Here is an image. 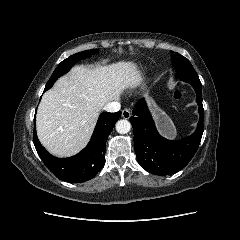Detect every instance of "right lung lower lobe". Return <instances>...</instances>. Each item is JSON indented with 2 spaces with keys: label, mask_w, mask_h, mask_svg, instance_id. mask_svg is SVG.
<instances>
[{
  "label": "right lung lower lobe",
  "mask_w": 240,
  "mask_h": 240,
  "mask_svg": "<svg viewBox=\"0 0 240 240\" xmlns=\"http://www.w3.org/2000/svg\"><path fill=\"white\" fill-rule=\"evenodd\" d=\"M120 116V111L116 113H102L88 145L77 155L64 159L50 155L40 144L34 123L33 142L37 153L47 168L58 178L71 183L90 180L104 166L106 142Z\"/></svg>",
  "instance_id": "98d812e1"
}]
</instances>
